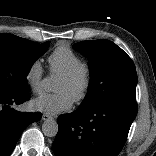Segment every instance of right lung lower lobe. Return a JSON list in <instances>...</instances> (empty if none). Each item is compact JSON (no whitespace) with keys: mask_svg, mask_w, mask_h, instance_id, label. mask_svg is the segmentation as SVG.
<instances>
[{"mask_svg":"<svg viewBox=\"0 0 156 156\" xmlns=\"http://www.w3.org/2000/svg\"><path fill=\"white\" fill-rule=\"evenodd\" d=\"M29 99V91L16 93L0 89V156H9L22 131L41 119L42 114L39 112H19L11 107Z\"/></svg>","mask_w":156,"mask_h":156,"instance_id":"98d812e1","label":"right lung lower lobe"}]
</instances>
